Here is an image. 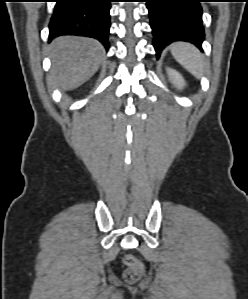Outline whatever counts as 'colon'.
I'll list each match as a JSON object with an SVG mask.
<instances>
[{
    "instance_id": "5ec220e1",
    "label": "colon",
    "mask_w": 248,
    "mask_h": 299,
    "mask_svg": "<svg viewBox=\"0 0 248 299\" xmlns=\"http://www.w3.org/2000/svg\"><path fill=\"white\" fill-rule=\"evenodd\" d=\"M123 262L129 268L125 275L126 280L130 283L136 282L140 277L142 264L130 254L124 257Z\"/></svg>"
}]
</instances>
